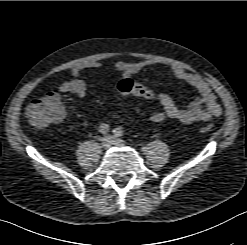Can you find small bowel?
<instances>
[{"mask_svg": "<svg viewBox=\"0 0 247 245\" xmlns=\"http://www.w3.org/2000/svg\"><path fill=\"white\" fill-rule=\"evenodd\" d=\"M152 60H142L138 62L118 61L114 68L124 78L140 72L146 67L154 65ZM103 64L100 61H88L74 65L71 69L72 79L63 81L57 89L50 90L46 96V100H54L61 104V94L71 93L78 97H84L87 86L80 75L84 69L101 68ZM173 77L194 88L199 96L186 107H179L171 96L165 93L154 92L153 98L156 99L161 110L151 114L150 118L154 122H163L168 119H175L183 124H191L197 121H208L213 117H217L222 113V108L217 100L209 83L201 76L187 72L181 67L174 66L171 69ZM75 108L65 109L64 114L73 111Z\"/></svg>", "mask_w": 247, "mask_h": 245, "instance_id": "obj_1", "label": "small bowel"}]
</instances>
